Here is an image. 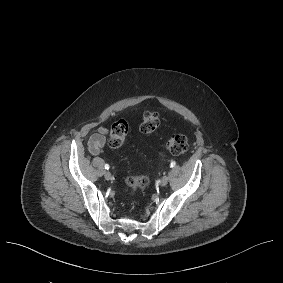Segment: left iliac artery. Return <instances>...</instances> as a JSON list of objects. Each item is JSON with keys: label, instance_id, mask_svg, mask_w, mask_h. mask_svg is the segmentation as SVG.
Wrapping results in <instances>:
<instances>
[{"label": "left iliac artery", "instance_id": "1", "mask_svg": "<svg viewBox=\"0 0 283 283\" xmlns=\"http://www.w3.org/2000/svg\"><path fill=\"white\" fill-rule=\"evenodd\" d=\"M176 165L175 161H172L170 167L173 168Z\"/></svg>", "mask_w": 283, "mask_h": 283}]
</instances>
